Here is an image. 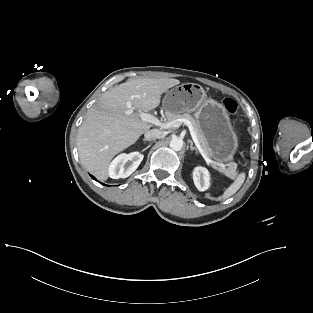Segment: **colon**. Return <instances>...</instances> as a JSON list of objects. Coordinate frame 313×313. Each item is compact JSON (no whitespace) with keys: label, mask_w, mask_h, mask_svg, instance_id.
<instances>
[{"label":"colon","mask_w":313,"mask_h":313,"mask_svg":"<svg viewBox=\"0 0 313 313\" xmlns=\"http://www.w3.org/2000/svg\"><path fill=\"white\" fill-rule=\"evenodd\" d=\"M222 105L225 111L229 114H234L237 110V102L232 98H224L222 100Z\"/></svg>","instance_id":"colon-1"}]
</instances>
